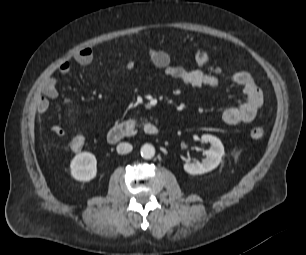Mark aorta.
<instances>
[{
	"label": "aorta",
	"mask_w": 306,
	"mask_h": 255,
	"mask_svg": "<svg viewBox=\"0 0 306 255\" xmlns=\"http://www.w3.org/2000/svg\"><path fill=\"white\" fill-rule=\"evenodd\" d=\"M140 153L144 159H151L155 155V148L151 144H144L140 149Z\"/></svg>",
	"instance_id": "762f6f07"
}]
</instances>
